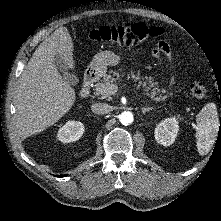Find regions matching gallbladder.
I'll return each instance as SVG.
<instances>
[{"label": "gallbladder", "instance_id": "bac80fb5", "mask_svg": "<svg viewBox=\"0 0 221 221\" xmlns=\"http://www.w3.org/2000/svg\"><path fill=\"white\" fill-rule=\"evenodd\" d=\"M55 66L58 70L62 72L63 78L68 84L73 85V86L77 85L78 78L74 74L68 71L61 57L58 55L55 57Z\"/></svg>", "mask_w": 221, "mask_h": 221}]
</instances>
